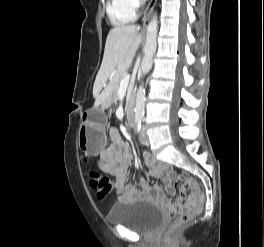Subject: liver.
Wrapping results in <instances>:
<instances>
[{"label":"liver","instance_id":"6515ba94","mask_svg":"<svg viewBox=\"0 0 264 247\" xmlns=\"http://www.w3.org/2000/svg\"><path fill=\"white\" fill-rule=\"evenodd\" d=\"M141 39L139 28L135 25L115 27L110 30L102 64L93 86L94 108L106 102L120 77L130 68Z\"/></svg>","mask_w":264,"mask_h":247}]
</instances>
